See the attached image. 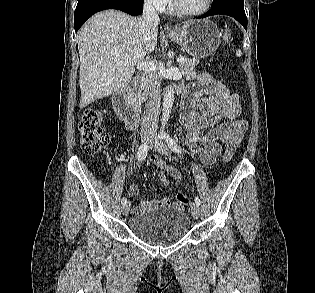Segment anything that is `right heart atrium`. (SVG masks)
I'll return each instance as SVG.
<instances>
[{
    "label": "right heart atrium",
    "mask_w": 315,
    "mask_h": 293,
    "mask_svg": "<svg viewBox=\"0 0 315 293\" xmlns=\"http://www.w3.org/2000/svg\"><path fill=\"white\" fill-rule=\"evenodd\" d=\"M155 9L159 11H163L168 3L169 0H147Z\"/></svg>",
    "instance_id": "obj_1"
}]
</instances>
